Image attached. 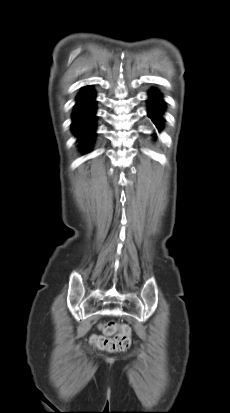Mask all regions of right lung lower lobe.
Listing matches in <instances>:
<instances>
[{
    "mask_svg": "<svg viewBox=\"0 0 230 413\" xmlns=\"http://www.w3.org/2000/svg\"><path fill=\"white\" fill-rule=\"evenodd\" d=\"M95 92L90 86L81 89L74 106L72 131L78 137L81 149L89 150L94 143L96 129Z\"/></svg>",
    "mask_w": 230,
    "mask_h": 413,
    "instance_id": "98d812e1",
    "label": "right lung lower lobe"
}]
</instances>
